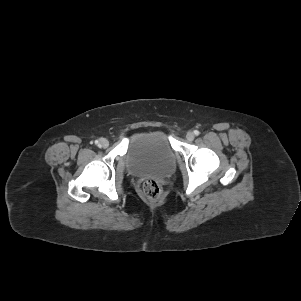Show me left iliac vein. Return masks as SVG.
I'll return each instance as SVG.
<instances>
[{
    "instance_id": "4c4485c4",
    "label": "left iliac vein",
    "mask_w": 301,
    "mask_h": 301,
    "mask_svg": "<svg viewBox=\"0 0 301 301\" xmlns=\"http://www.w3.org/2000/svg\"><path fill=\"white\" fill-rule=\"evenodd\" d=\"M194 133L193 132H188L187 135H186V139L188 141H193L194 140Z\"/></svg>"
}]
</instances>
